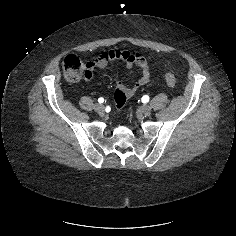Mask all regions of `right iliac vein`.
Returning a JSON list of instances; mask_svg holds the SVG:
<instances>
[{"instance_id":"obj_1","label":"right iliac vein","mask_w":236,"mask_h":236,"mask_svg":"<svg viewBox=\"0 0 236 236\" xmlns=\"http://www.w3.org/2000/svg\"><path fill=\"white\" fill-rule=\"evenodd\" d=\"M94 109H95V111L98 112V113H103V112H104V106H103L102 104H96V105L94 106Z\"/></svg>"}]
</instances>
